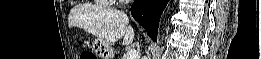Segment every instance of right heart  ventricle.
<instances>
[{"label":"right heart ventricle","instance_id":"1","mask_svg":"<svg viewBox=\"0 0 261 59\" xmlns=\"http://www.w3.org/2000/svg\"><path fill=\"white\" fill-rule=\"evenodd\" d=\"M102 2H104V3H110V2H112V0H102Z\"/></svg>","mask_w":261,"mask_h":59}]
</instances>
